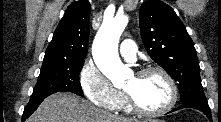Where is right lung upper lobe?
Returning <instances> with one entry per match:
<instances>
[{
  "mask_svg": "<svg viewBox=\"0 0 221 122\" xmlns=\"http://www.w3.org/2000/svg\"><path fill=\"white\" fill-rule=\"evenodd\" d=\"M90 3L75 1L57 26L43 61L84 60L88 51Z\"/></svg>",
  "mask_w": 221,
  "mask_h": 122,
  "instance_id": "right-lung-upper-lobe-1",
  "label": "right lung upper lobe"
}]
</instances>
